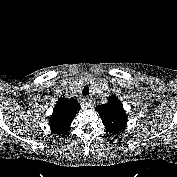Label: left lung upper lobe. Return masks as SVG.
Wrapping results in <instances>:
<instances>
[{
    "instance_id": "obj_1",
    "label": "left lung upper lobe",
    "mask_w": 177,
    "mask_h": 177,
    "mask_svg": "<svg viewBox=\"0 0 177 177\" xmlns=\"http://www.w3.org/2000/svg\"><path fill=\"white\" fill-rule=\"evenodd\" d=\"M96 111L100 114L107 132L115 135L124 130L127 125V115L121 101L110 96L107 104L99 105Z\"/></svg>"
}]
</instances>
